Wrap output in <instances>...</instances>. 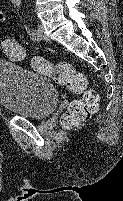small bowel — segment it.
<instances>
[{"instance_id": "small-bowel-1", "label": "small bowel", "mask_w": 123, "mask_h": 201, "mask_svg": "<svg viewBox=\"0 0 123 201\" xmlns=\"http://www.w3.org/2000/svg\"><path fill=\"white\" fill-rule=\"evenodd\" d=\"M6 20V15L4 12L0 11V23L4 22Z\"/></svg>"}]
</instances>
